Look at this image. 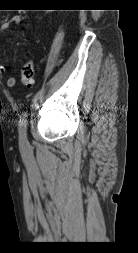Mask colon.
Instances as JSON below:
<instances>
[{
  "instance_id": "colon-1",
  "label": "colon",
  "mask_w": 138,
  "mask_h": 253,
  "mask_svg": "<svg viewBox=\"0 0 138 253\" xmlns=\"http://www.w3.org/2000/svg\"><path fill=\"white\" fill-rule=\"evenodd\" d=\"M35 65L33 61H27L21 73V83L23 86L30 88L34 84Z\"/></svg>"
}]
</instances>
